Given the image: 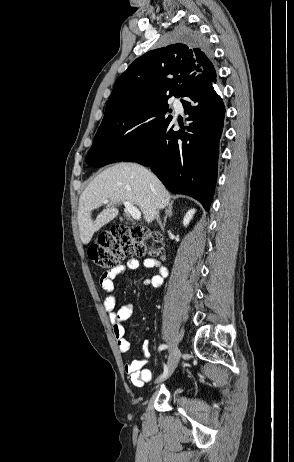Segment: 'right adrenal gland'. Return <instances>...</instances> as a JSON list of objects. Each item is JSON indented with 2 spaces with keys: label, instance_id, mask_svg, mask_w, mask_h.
I'll return each instance as SVG.
<instances>
[{
  "label": "right adrenal gland",
  "instance_id": "obj_1",
  "mask_svg": "<svg viewBox=\"0 0 294 462\" xmlns=\"http://www.w3.org/2000/svg\"><path fill=\"white\" fill-rule=\"evenodd\" d=\"M173 215V202H170L168 205H167V208L165 210V217H164V222H163V226L166 225V222H167V218L172 216Z\"/></svg>",
  "mask_w": 294,
  "mask_h": 462
}]
</instances>
